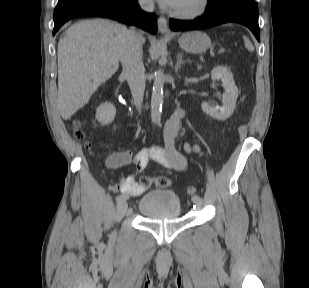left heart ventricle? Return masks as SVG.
<instances>
[{"instance_id":"1","label":"left heart ventricle","mask_w":309,"mask_h":288,"mask_svg":"<svg viewBox=\"0 0 309 288\" xmlns=\"http://www.w3.org/2000/svg\"><path fill=\"white\" fill-rule=\"evenodd\" d=\"M199 0H177L172 9L180 11H190L198 7Z\"/></svg>"}]
</instances>
